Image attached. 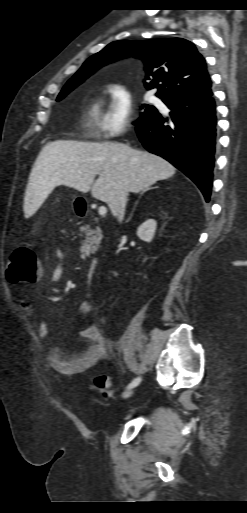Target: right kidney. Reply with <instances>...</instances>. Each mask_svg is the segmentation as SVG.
<instances>
[{
	"mask_svg": "<svg viewBox=\"0 0 247 513\" xmlns=\"http://www.w3.org/2000/svg\"><path fill=\"white\" fill-rule=\"evenodd\" d=\"M156 221L154 219H149L141 224L137 229V236L146 242H150L155 234L156 230Z\"/></svg>",
	"mask_w": 247,
	"mask_h": 513,
	"instance_id": "right-kidney-1",
	"label": "right kidney"
}]
</instances>
